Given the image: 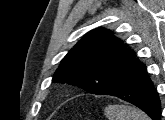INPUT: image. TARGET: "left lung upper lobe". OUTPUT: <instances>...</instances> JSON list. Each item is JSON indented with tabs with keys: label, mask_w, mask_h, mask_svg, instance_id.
<instances>
[{
	"label": "left lung upper lobe",
	"mask_w": 165,
	"mask_h": 120,
	"mask_svg": "<svg viewBox=\"0 0 165 120\" xmlns=\"http://www.w3.org/2000/svg\"><path fill=\"white\" fill-rule=\"evenodd\" d=\"M135 52L125 49L110 30L88 32L63 58L52 82L78 86L88 93L108 95L122 82Z\"/></svg>",
	"instance_id": "left-lung-upper-lobe-1"
}]
</instances>
